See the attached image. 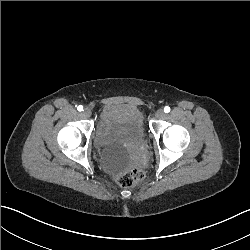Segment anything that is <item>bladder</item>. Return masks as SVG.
Segmentation results:
<instances>
[{"instance_id": "31cf9c89", "label": "bladder", "mask_w": 250, "mask_h": 250, "mask_svg": "<svg viewBox=\"0 0 250 250\" xmlns=\"http://www.w3.org/2000/svg\"><path fill=\"white\" fill-rule=\"evenodd\" d=\"M100 113L92 136L96 150L147 139L144 115L138 107L108 102L101 107Z\"/></svg>"}]
</instances>
